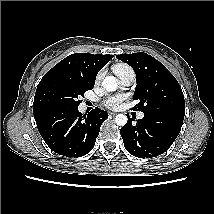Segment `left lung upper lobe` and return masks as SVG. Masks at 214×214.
Returning a JSON list of instances; mask_svg holds the SVG:
<instances>
[{"label": "left lung upper lobe", "instance_id": "1", "mask_svg": "<svg viewBox=\"0 0 214 214\" xmlns=\"http://www.w3.org/2000/svg\"><path fill=\"white\" fill-rule=\"evenodd\" d=\"M116 57L129 64L136 73L134 110L185 115L182 89L166 67L152 56L143 53L121 54Z\"/></svg>", "mask_w": 214, "mask_h": 214}]
</instances>
